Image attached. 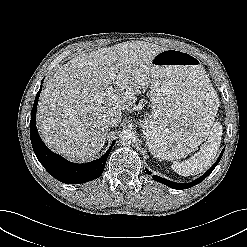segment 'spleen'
<instances>
[{"mask_svg": "<svg viewBox=\"0 0 247 247\" xmlns=\"http://www.w3.org/2000/svg\"><path fill=\"white\" fill-rule=\"evenodd\" d=\"M222 139V125L219 122L212 123L208 131L206 144L189 159L175 162L172 169L181 176L197 175L209 168L214 161Z\"/></svg>", "mask_w": 247, "mask_h": 247, "instance_id": "3e777b00", "label": "spleen"}]
</instances>
